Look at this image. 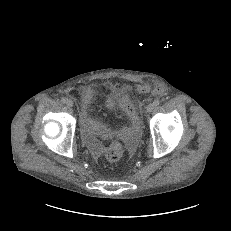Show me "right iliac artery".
Here are the masks:
<instances>
[{
  "label": "right iliac artery",
  "mask_w": 231,
  "mask_h": 231,
  "mask_svg": "<svg viewBox=\"0 0 231 231\" xmlns=\"http://www.w3.org/2000/svg\"><path fill=\"white\" fill-rule=\"evenodd\" d=\"M67 99L65 97L61 98V102L66 103Z\"/></svg>",
  "instance_id": "1"
}]
</instances>
